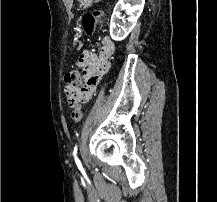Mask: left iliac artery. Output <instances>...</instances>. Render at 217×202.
I'll return each instance as SVG.
<instances>
[{"label":"left iliac artery","instance_id":"1","mask_svg":"<svg viewBox=\"0 0 217 202\" xmlns=\"http://www.w3.org/2000/svg\"><path fill=\"white\" fill-rule=\"evenodd\" d=\"M76 154H77V146L75 145L73 155H74V158H75V162L78 165L80 163V160L77 158Z\"/></svg>","mask_w":217,"mask_h":202}]
</instances>
